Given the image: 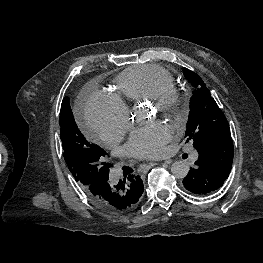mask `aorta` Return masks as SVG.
<instances>
[{
	"instance_id": "aorta-1",
	"label": "aorta",
	"mask_w": 263,
	"mask_h": 263,
	"mask_svg": "<svg viewBox=\"0 0 263 263\" xmlns=\"http://www.w3.org/2000/svg\"><path fill=\"white\" fill-rule=\"evenodd\" d=\"M189 172V165L184 160H178L171 165V173L176 178H185Z\"/></svg>"
}]
</instances>
